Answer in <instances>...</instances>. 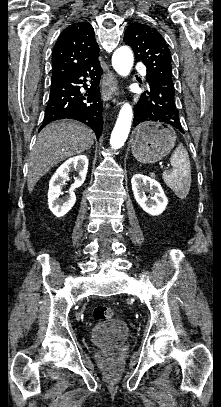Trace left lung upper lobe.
I'll list each match as a JSON object with an SVG mask.
<instances>
[{
    "mask_svg": "<svg viewBox=\"0 0 221 407\" xmlns=\"http://www.w3.org/2000/svg\"><path fill=\"white\" fill-rule=\"evenodd\" d=\"M124 42L133 49L136 62L147 67V82L159 80L173 86L170 50L156 29L134 22L126 29Z\"/></svg>",
    "mask_w": 221,
    "mask_h": 407,
    "instance_id": "5c2ea615",
    "label": "left lung upper lobe"
}]
</instances>
